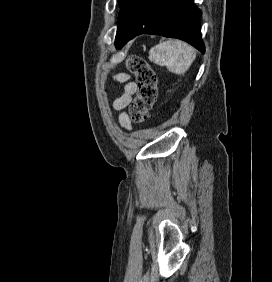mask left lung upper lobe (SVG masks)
Masks as SVG:
<instances>
[{"label": "left lung upper lobe", "instance_id": "left-lung-upper-lobe-1", "mask_svg": "<svg viewBox=\"0 0 272 282\" xmlns=\"http://www.w3.org/2000/svg\"><path fill=\"white\" fill-rule=\"evenodd\" d=\"M125 0H118L119 4L122 5Z\"/></svg>", "mask_w": 272, "mask_h": 282}]
</instances>
